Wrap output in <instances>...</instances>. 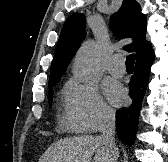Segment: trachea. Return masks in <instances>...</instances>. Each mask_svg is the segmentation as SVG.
<instances>
[{"label": "trachea", "mask_w": 168, "mask_h": 162, "mask_svg": "<svg viewBox=\"0 0 168 162\" xmlns=\"http://www.w3.org/2000/svg\"><path fill=\"white\" fill-rule=\"evenodd\" d=\"M126 67H134V54H130L126 58Z\"/></svg>", "instance_id": "trachea-1"}]
</instances>
